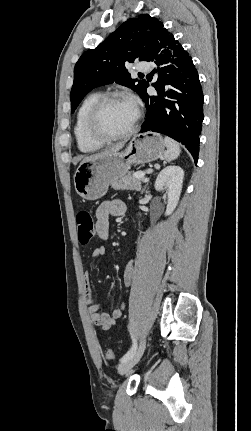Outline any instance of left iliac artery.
I'll return each instance as SVG.
<instances>
[{
	"label": "left iliac artery",
	"instance_id": "obj_1",
	"mask_svg": "<svg viewBox=\"0 0 251 431\" xmlns=\"http://www.w3.org/2000/svg\"><path fill=\"white\" fill-rule=\"evenodd\" d=\"M131 335H132L133 345L129 349V351L120 359V362H124L125 360H127L128 358H130L134 354V352L136 351V349H137L136 339L134 338V336H133L132 333H131Z\"/></svg>",
	"mask_w": 251,
	"mask_h": 431
}]
</instances>
